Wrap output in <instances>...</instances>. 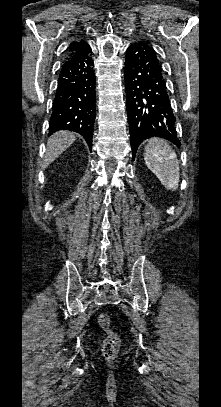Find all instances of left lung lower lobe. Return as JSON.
<instances>
[{
	"label": "left lung lower lobe",
	"mask_w": 221,
	"mask_h": 407,
	"mask_svg": "<svg viewBox=\"0 0 221 407\" xmlns=\"http://www.w3.org/2000/svg\"><path fill=\"white\" fill-rule=\"evenodd\" d=\"M124 76L133 157L141 142L150 137L179 146L165 76L155 50L145 42L131 44L126 51Z\"/></svg>",
	"instance_id": "obj_1"
}]
</instances>
